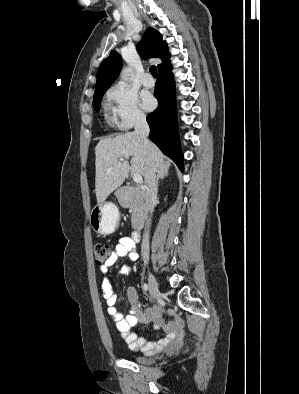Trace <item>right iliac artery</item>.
Listing matches in <instances>:
<instances>
[{
    "label": "right iliac artery",
    "mask_w": 299,
    "mask_h": 394,
    "mask_svg": "<svg viewBox=\"0 0 299 394\" xmlns=\"http://www.w3.org/2000/svg\"><path fill=\"white\" fill-rule=\"evenodd\" d=\"M148 288H149L148 285H147L146 283H144V284H143V290H144L145 292H147V291H148Z\"/></svg>",
    "instance_id": "1"
}]
</instances>
